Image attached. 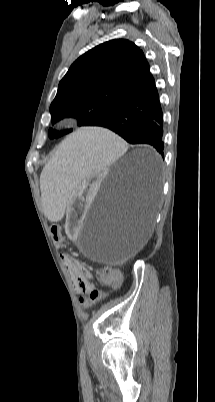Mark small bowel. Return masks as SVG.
<instances>
[{"mask_svg":"<svg viewBox=\"0 0 215 402\" xmlns=\"http://www.w3.org/2000/svg\"><path fill=\"white\" fill-rule=\"evenodd\" d=\"M74 284H75L76 291L81 294H87L88 292H90L93 289V285L90 282L88 275L79 276V275L75 274Z\"/></svg>","mask_w":215,"mask_h":402,"instance_id":"c3829d8e","label":"small bowel"}]
</instances>
